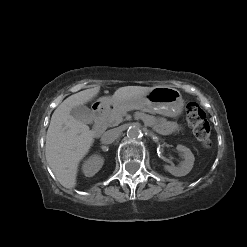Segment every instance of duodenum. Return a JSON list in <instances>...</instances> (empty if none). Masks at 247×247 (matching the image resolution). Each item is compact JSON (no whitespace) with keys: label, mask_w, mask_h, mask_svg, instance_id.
Instances as JSON below:
<instances>
[{"label":"duodenum","mask_w":247,"mask_h":247,"mask_svg":"<svg viewBox=\"0 0 247 247\" xmlns=\"http://www.w3.org/2000/svg\"><path fill=\"white\" fill-rule=\"evenodd\" d=\"M110 109L109 103H102L98 104L94 108V126H93V133L95 136H100L105 128H106V114L108 110Z\"/></svg>","instance_id":"obj_1"}]
</instances>
